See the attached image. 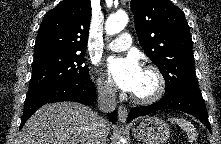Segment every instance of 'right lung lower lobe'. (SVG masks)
I'll use <instances>...</instances> for the list:
<instances>
[{
	"instance_id": "right-lung-lower-lobe-1",
	"label": "right lung lower lobe",
	"mask_w": 221,
	"mask_h": 144,
	"mask_svg": "<svg viewBox=\"0 0 221 144\" xmlns=\"http://www.w3.org/2000/svg\"><path fill=\"white\" fill-rule=\"evenodd\" d=\"M96 98V89L92 81L85 83L60 82L46 86L45 88L26 96L21 125L41 106L52 102L74 101L82 104L93 103ZM109 119L114 123L117 119V112L108 114Z\"/></svg>"
}]
</instances>
